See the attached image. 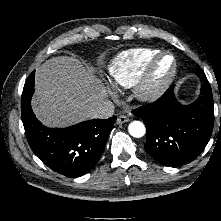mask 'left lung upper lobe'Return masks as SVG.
<instances>
[{
	"instance_id": "1",
	"label": "left lung upper lobe",
	"mask_w": 221,
	"mask_h": 221,
	"mask_svg": "<svg viewBox=\"0 0 221 221\" xmlns=\"http://www.w3.org/2000/svg\"><path fill=\"white\" fill-rule=\"evenodd\" d=\"M201 73H203V72H202V70L199 69V70H198V74H201Z\"/></svg>"
}]
</instances>
